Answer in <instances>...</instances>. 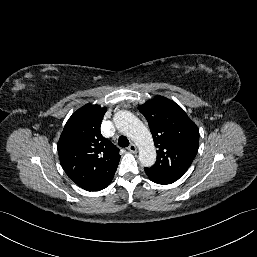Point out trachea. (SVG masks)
<instances>
[{
	"instance_id": "trachea-1",
	"label": "trachea",
	"mask_w": 257,
	"mask_h": 257,
	"mask_svg": "<svg viewBox=\"0 0 257 257\" xmlns=\"http://www.w3.org/2000/svg\"><path fill=\"white\" fill-rule=\"evenodd\" d=\"M118 144L120 147H127L129 145V140L125 136H120L118 139Z\"/></svg>"
}]
</instances>
